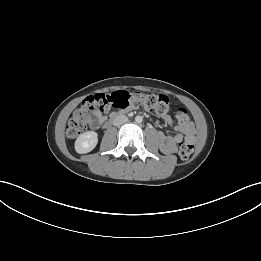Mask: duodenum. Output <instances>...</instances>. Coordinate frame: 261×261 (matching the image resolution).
Segmentation results:
<instances>
[{
	"instance_id": "1",
	"label": "duodenum",
	"mask_w": 261,
	"mask_h": 261,
	"mask_svg": "<svg viewBox=\"0 0 261 261\" xmlns=\"http://www.w3.org/2000/svg\"><path fill=\"white\" fill-rule=\"evenodd\" d=\"M119 117H120L119 113H116V112L112 113L111 117L103 123V127L106 128V127L110 126L111 123L114 120L118 119Z\"/></svg>"
}]
</instances>
